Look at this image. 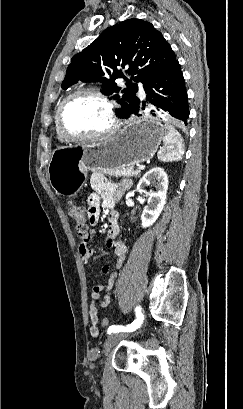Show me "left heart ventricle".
I'll list each match as a JSON object with an SVG mask.
<instances>
[{"mask_svg": "<svg viewBox=\"0 0 243 409\" xmlns=\"http://www.w3.org/2000/svg\"><path fill=\"white\" fill-rule=\"evenodd\" d=\"M65 129L75 135H91L109 125L106 106L90 95H79L67 105L63 117Z\"/></svg>", "mask_w": 243, "mask_h": 409, "instance_id": "b2bd125f", "label": "left heart ventricle"}]
</instances>
